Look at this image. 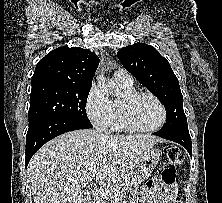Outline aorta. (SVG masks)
Wrapping results in <instances>:
<instances>
[{"mask_svg":"<svg viewBox=\"0 0 222 203\" xmlns=\"http://www.w3.org/2000/svg\"><path fill=\"white\" fill-rule=\"evenodd\" d=\"M97 81L101 90L107 95H115L118 92L115 83L109 81L103 73L97 76Z\"/></svg>","mask_w":222,"mask_h":203,"instance_id":"aorta-1","label":"aorta"}]
</instances>
